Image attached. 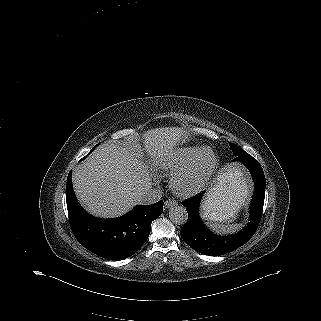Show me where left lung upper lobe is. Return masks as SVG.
I'll return each instance as SVG.
<instances>
[{
  "label": "left lung upper lobe",
  "instance_id": "left-lung-upper-lobe-1",
  "mask_svg": "<svg viewBox=\"0 0 321 321\" xmlns=\"http://www.w3.org/2000/svg\"><path fill=\"white\" fill-rule=\"evenodd\" d=\"M229 145H230V149L232 150V152L235 156H238V155L245 152L241 147H239L238 145H236L234 143H229Z\"/></svg>",
  "mask_w": 321,
  "mask_h": 321
}]
</instances>
